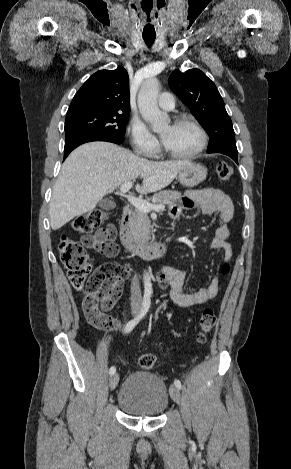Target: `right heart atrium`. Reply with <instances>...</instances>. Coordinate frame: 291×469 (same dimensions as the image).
Here are the masks:
<instances>
[{"label":"right heart atrium","instance_id":"right-heart-atrium-1","mask_svg":"<svg viewBox=\"0 0 291 469\" xmlns=\"http://www.w3.org/2000/svg\"><path fill=\"white\" fill-rule=\"evenodd\" d=\"M128 134L132 146L142 155L151 156L157 151V138L142 121L133 119L128 127Z\"/></svg>","mask_w":291,"mask_h":469}]
</instances>
